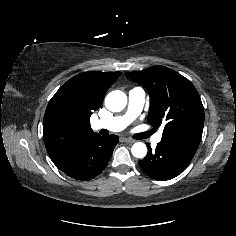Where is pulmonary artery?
I'll return each instance as SVG.
<instances>
[{"mask_svg":"<svg viewBox=\"0 0 236 236\" xmlns=\"http://www.w3.org/2000/svg\"><path fill=\"white\" fill-rule=\"evenodd\" d=\"M146 100V93L141 87H135L128 94V108L123 116H116L110 119H99L92 123L94 130L105 129L112 132L123 130L141 112ZM162 138V132L157 133L152 142L157 144Z\"/></svg>","mask_w":236,"mask_h":236,"instance_id":"e3ab8cb5","label":"pulmonary artery"}]
</instances>
